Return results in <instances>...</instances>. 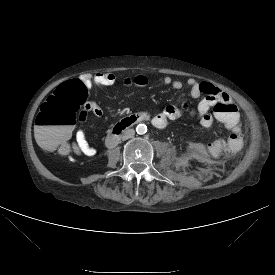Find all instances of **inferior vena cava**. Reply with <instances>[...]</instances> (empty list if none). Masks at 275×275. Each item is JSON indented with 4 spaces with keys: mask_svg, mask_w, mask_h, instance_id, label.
Segmentation results:
<instances>
[{
    "mask_svg": "<svg viewBox=\"0 0 275 275\" xmlns=\"http://www.w3.org/2000/svg\"><path fill=\"white\" fill-rule=\"evenodd\" d=\"M135 134L134 129H128L123 132L122 140H127L129 138H132Z\"/></svg>",
    "mask_w": 275,
    "mask_h": 275,
    "instance_id": "602c4592",
    "label": "inferior vena cava"
}]
</instances>
